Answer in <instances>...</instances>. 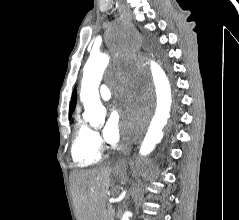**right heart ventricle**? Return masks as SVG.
<instances>
[{
  "instance_id": "e07e8e85",
  "label": "right heart ventricle",
  "mask_w": 239,
  "mask_h": 220,
  "mask_svg": "<svg viewBox=\"0 0 239 220\" xmlns=\"http://www.w3.org/2000/svg\"><path fill=\"white\" fill-rule=\"evenodd\" d=\"M71 157L74 164L81 168L95 165L101 160L99 146L94 141V131L78 114L74 124Z\"/></svg>"
}]
</instances>
